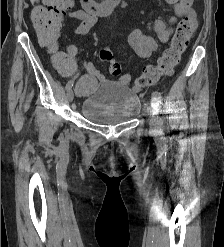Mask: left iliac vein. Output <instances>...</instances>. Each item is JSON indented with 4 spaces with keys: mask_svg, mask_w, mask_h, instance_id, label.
I'll return each mask as SVG.
<instances>
[{
    "mask_svg": "<svg viewBox=\"0 0 224 247\" xmlns=\"http://www.w3.org/2000/svg\"><path fill=\"white\" fill-rule=\"evenodd\" d=\"M151 119H150V127L153 131H157L160 126V120L158 118L159 113V105L158 101L154 98V96L151 99Z\"/></svg>",
    "mask_w": 224,
    "mask_h": 247,
    "instance_id": "obj_1",
    "label": "left iliac vein"
}]
</instances>
